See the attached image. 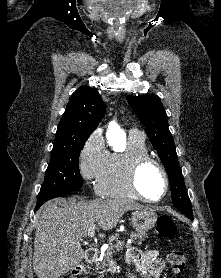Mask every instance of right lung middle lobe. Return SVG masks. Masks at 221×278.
I'll return each mask as SVG.
<instances>
[{"label":"right lung middle lobe","instance_id":"right-lung-middle-lobe-1","mask_svg":"<svg viewBox=\"0 0 221 278\" xmlns=\"http://www.w3.org/2000/svg\"><path fill=\"white\" fill-rule=\"evenodd\" d=\"M85 142L52 149L37 204H43L62 193L72 192L82 187L79 155Z\"/></svg>","mask_w":221,"mask_h":278}]
</instances>
